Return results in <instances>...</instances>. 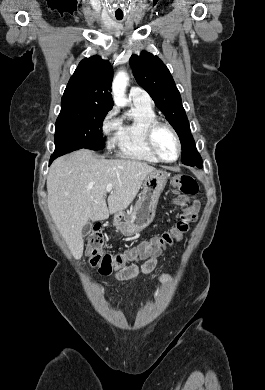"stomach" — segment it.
Instances as JSON below:
<instances>
[{"label":"stomach","instance_id":"obj_1","mask_svg":"<svg viewBox=\"0 0 265 390\" xmlns=\"http://www.w3.org/2000/svg\"><path fill=\"white\" fill-rule=\"evenodd\" d=\"M169 173L155 170L143 183L141 197L131 212H118L114 225L123 235L132 236L144 230L154 220L159 197L164 190Z\"/></svg>","mask_w":265,"mask_h":390}]
</instances>
